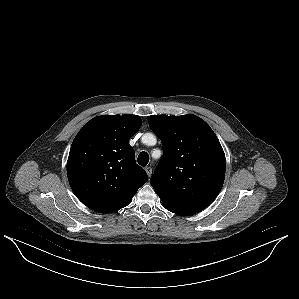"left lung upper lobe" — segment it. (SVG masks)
Instances as JSON below:
<instances>
[{"instance_id": "5c2ea615", "label": "left lung upper lobe", "mask_w": 299, "mask_h": 299, "mask_svg": "<svg viewBox=\"0 0 299 299\" xmlns=\"http://www.w3.org/2000/svg\"><path fill=\"white\" fill-rule=\"evenodd\" d=\"M149 125L163 144L150 183L163 206L199 212L217 197L226 159L210 126L198 116H151Z\"/></svg>"}]
</instances>
